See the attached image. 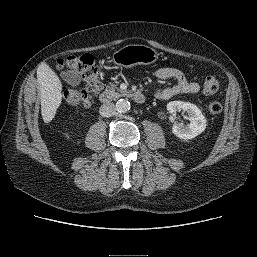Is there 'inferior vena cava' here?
Listing matches in <instances>:
<instances>
[{"instance_id":"602c4592","label":"inferior vena cava","mask_w":257,"mask_h":257,"mask_svg":"<svg viewBox=\"0 0 257 257\" xmlns=\"http://www.w3.org/2000/svg\"><path fill=\"white\" fill-rule=\"evenodd\" d=\"M115 111H116V107L114 103L110 101L105 102L103 105H101L99 109L100 115L103 117H111L115 114Z\"/></svg>"}]
</instances>
